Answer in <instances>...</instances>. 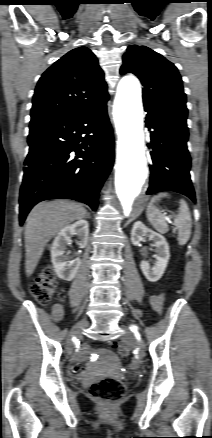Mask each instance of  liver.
<instances>
[{
	"mask_svg": "<svg viewBox=\"0 0 212 438\" xmlns=\"http://www.w3.org/2000/svg\"><path fill=\"white\" fill-rule=\"evenodd\" d=\"M86 215L83 205L67 200L41 202L31 210L24 233L27 277L33 274L51 238L71 222L81 220Z\"/></svg>",
	"mask_w": 212,
	"mask_h": 438,
	"instance_id": "obj_1",
	"label": "liver"
}]
</instances>
